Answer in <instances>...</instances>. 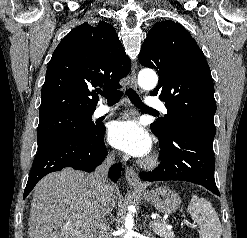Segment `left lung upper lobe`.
Returning <instances> with one entry per match:
<instances>
[{"mask_svg":"<svg viewBox=\"0 0 247 238\" xmlns=\"http://www.w3.org/2000/svg\"><path fill=\"white\" fill-rule=\"evenodd\" d=\"M140 63L159 74L151 92L165 101L168 113L150 125L153 133L168 141L177 129L195 132L213 141L216 102L211 71L196 41L180 24L156 23L139 54Z\"/></svg>","mask_w":247,"mask_h":238,"instance_id":"1","label":"left lung upper lobe"}]
</instances>
